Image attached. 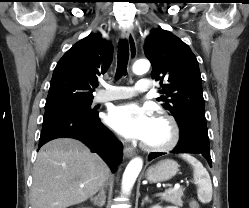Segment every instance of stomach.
Listing matches in <instances>:
<instances>
[{
    "instance_id": "0dacf381",
    "label": "stomach",
    "mask_w": 249,
    "mask_h": 208,
    "mask_svg": "<svg viewBox=\"0 0 249 208\" xmlns=\"http://www.w3.org/2000/svg\"><path fill=\"white\" fill-rule=\"evenodd\" d=\"M178 168L179 166L176 161L165 159L149 167L145 173V178L150 183L168 181L176 175Z\"/></svg>"
}]
</instances>
